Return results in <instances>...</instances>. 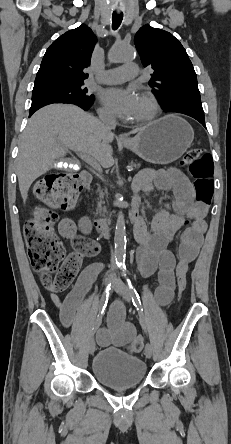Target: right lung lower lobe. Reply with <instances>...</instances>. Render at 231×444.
Returning <instances> with one entry per match:
<instances>
[{"label": "right lung lower lobe", "mask_w": 231, "mask_h": 444, "mask_svg": "<svg viewBox=\"0 0 231 444\" xmlns=\"http://www.w3.org/2000/svg\"><path fill=\"white\" fill-rule=\"evenodd\" d=\"M52 103H59V102H45V103H40V104H36V105H31V108H30V115H29V117H30L35 111H37L38 109H40L41 107H43V106H45V105H48V104H52ZM67 103H69V102H67ZM73 104L80 106V107H81L82 109H84V110H88V109L91 107V105H92V104H89V105H83V104H78V103H73Z\"/></svg>", "instance_id": "right-lung-lower-lobe-1"}]
</instances>
